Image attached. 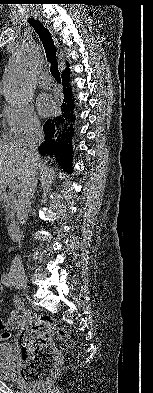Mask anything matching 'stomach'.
<instances>
[{
  "mask_svg": "<svg viewBox=\"0 0 153 393\" xmlns=\"http://www.w3.org/2000/svg\"><path fill=\"white\" fill-rule=\"evenodd\" d=\"M2 199V193H0V200Z\"/></svg>",
  "mask_w": 153,
  "mask_h": 393,
  "instance_id": "stomach-1",
  "label": "stomach"
}]
</instances>
